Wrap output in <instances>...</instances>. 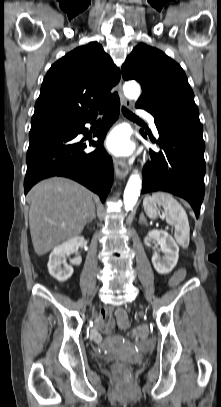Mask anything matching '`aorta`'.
Here are the masks:
<instances>
[{
  "label": "aorta",
  "mask_w": 221,
  "mask_h": 407,
  "mask_svg": "<svg viewBox=\"0 0 221 407\" xmlns=\"http://www.w3.org/2000/svg\"><path fill=\"white\" fill-rule=\"evenodd\" d=\"M124 94L130 99H137L140 96V86L135 81L126 82L123 87ZM142 180L138 173L130 176L124 190V207L126 211L131 210L136 204L140 195Z\"/></svg>",
  "instance_id": "762f6f07"
}]
</instances>
